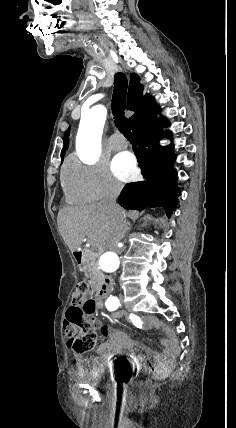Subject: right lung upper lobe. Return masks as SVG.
I'll return each instance as SVG.
<instances>
[{
    "label": "right lung upper lobe",
    "mask_w": 236,
    "mask_h": 428,
    "mask_svg": "<svg viewBox=\"0 0 236 428\" xmlns=\"http://www.w3.org/2000/svg\"><path fill=\"white\" fill-rule=\"evenodd\" d=\"M130 79L131 80L129 83L127 108L129 110L135 111V114L129 118V123L132 128L136 124H138L139 122L147 118L148 116L159 111L160 108H159V105L154 102V98L151 95L149 94H146L145 96L142 95L143 86L140 84L139 82L140 78L136 73L131 74ZM69 130L70 129L66 131L65 137H64V147L61 151L62 160L69 144V140H68Z\"/></svg>",
    "instance_id": "cb5924a9"
}]
</instances>
